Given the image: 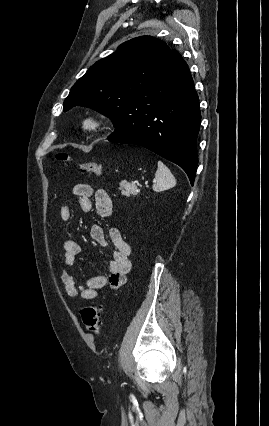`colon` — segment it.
<instances>
[{
	"instance_id": "colon-1",
	"label": "colon",
	"mask_w": 269,
	"mask_h": 426,
	"mask_svg": "<svg viewBox=\"0 0 269 426\" xmlns=\"http://www.w3.org/2000/svg\"><path fill=\"white\" fill-rule=\"evenodd\" d=\"M57 159L65 163L70 162V157L64 152L58 153ZM79 168L82 172H87L98 176L103 174V166L94 161L81 162L79 164ZM102 312V306L99 304L87 305L81 311V317L84 325L90 332L96 335L101 334Z\"/></svg>"
}]
</instances>
